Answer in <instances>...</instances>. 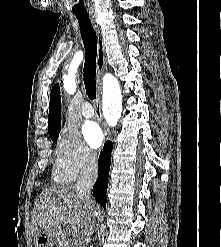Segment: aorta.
<instances>
[{
    "instance_id": "762f6f07",
    "label": "aorta",
    "mask_w": 221,
    "mask_h": 247,
    "mask_svg": "<svg viewBox=\"0 0 221 247\" xmlns=\"http://www.w3.org/2000/svg\"><path fill=\"white\" fill-rule=\"evenodd\" d=\"M64 89L68 94L76 91L74 75H67L63 80ZM103 113L107 122L114 126L117 124L122 113V94L118 80L111 74L103 78Z\"/></svg>"
}]
</instances>
